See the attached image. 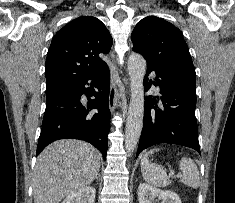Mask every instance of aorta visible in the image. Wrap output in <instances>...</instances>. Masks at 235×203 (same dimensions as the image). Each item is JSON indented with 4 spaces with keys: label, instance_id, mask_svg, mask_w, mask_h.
Masks as SVG:
<instances>
[{
    "label": "aorta",
    "instance_id": "762f6f07",
    "mask_svg": "<svg viewBox=\"0 0 235 203\" xmlns=\"http://www.w3.org/2000/svg\"><path fill=\"white\" fill-rule=\"evenodd\" d=\"M127 69L130 77L131 99L125 130V148L128 153H131L137 146L143 127V79L146 70V61L140 54L132 53L128 58Z\"/></svg>",
    "mask_w": 235,
    "mask_h": 203
}]
</instances>
